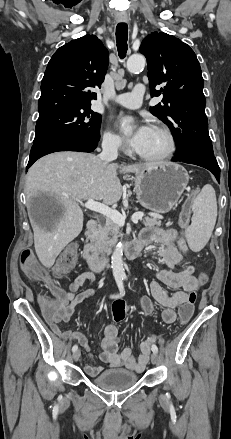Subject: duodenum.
<instances>
[{"mask_svg": "<svg viewBox=\"0 0 231 439\" xmlns=\"http://www.w3.org/2000/svg\"><path fill=\"white\" fill-rule=\"evenodd\" d=\"M98 222L91 219L87 222L86 237L87 242L84 246L83 256L86 259L90 268L95 272L102 271L108 264V257L101 255L98 248L93 242V237L97 231ZM144 247L141 240H135L125 246V254L129 259H135L140 254Z\"/></svg>", "mask_w": 231, "mask_h": 439, "instance_id": "410a0bca", "label": "duodenum"}]
</instances>
